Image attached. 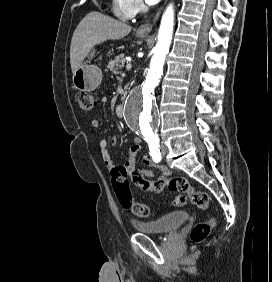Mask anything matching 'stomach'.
I'll return each mask as SVG.
<instances>
[{
    "instance_id": "stomach-1",
    "label": "stomach",
    "mask_w": 272,
    "mask_h": 282,
    "mask_svg": "<svg viewBox=\"0 0 272 282\" xmlns=\"http://www.w3.org/2000/svg\"><path fill=\"white\" fill-rule=\"evenodd\" d=\"M140 37H143V34H137ZM95 55V50H93L88 59L91 60ZM73 86L74 88L91 92L94 91L102 81V71L96 65L90 64L89 61H86L80 65V67L73 74Z\"/></svg>"
}]
</instances>
